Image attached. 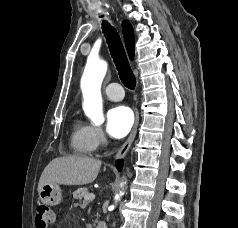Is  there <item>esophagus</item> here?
Here are the masks:
<instances>
[{
    "label": "esophagus",
    "mask_w": 238,
    "mask_h": 228,
    "mask_svg": "<svg viewBox=\"0 0 238 228\" xmlns=\"http://www.w3.org/2000/svg\"><path fill=\"white\" fill-rule=\"evenodd\" d=\"M138 124H139V113H138V110H136L135 123H134L133 128L130 132L129 137L127 138V140L124 142V144L118 150V152L116 154L117 159L123 158L126 155V153L128 152V150L131 147V144L136 136Z\"/></svg>",
    "instance_id": "obj_1"
}]
</instances>
